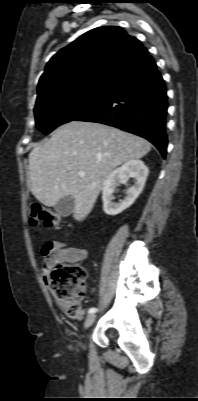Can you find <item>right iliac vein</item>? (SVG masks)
Returning <instances> with one entry per match:
<instances>
[{"mask_svg": "<svg viewBox=\"0 0 198 401\" xmlns=\"http://www.w3.org/2000/svg\"><path fill=\"white\" fill-rule=\"evenodd\" d=\"M95 319H96L95 314L88 315L84 323V328L85 329L89 328L94 323Z\"/></svg>", "mask_w": 198, "mask_h": 401, "instance_id": "obj_1", "label": "right iliac vein"}]
</instances>
